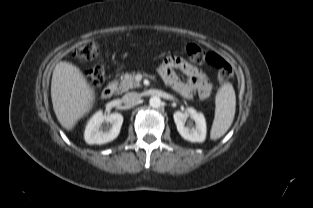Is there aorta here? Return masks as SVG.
Returning a JSON list of instances; mask_svg holds the SVG:
<instances>
[{
	"label": "aorta",
	"instance_id": "obj_1",
	"mask_svg": "<svg viewBox=\"0 0 313 208\" xmlns=\"http://www.w3.org/2000/svg\"><path fill=\"white\" fill-rule=\"evenodd\" d=\"M149 104L152 108H159L161 106V99L157 96H153L150 98Z\"/></svg>",
	"mask_w": 313,
	"mask_h": 208
}]
</instances>
